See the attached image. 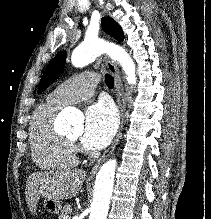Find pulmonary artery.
Here are the masks:
<instances>
[{"label":"pulmonary artery","mask_w":211,"mask_h":219,"mask_svg":"<svg viewBox=\"0 0 211 219\" xmlns=\"http://www.w3.org/2000/svg\"><path fill=\"white\" fill-rule=\"evenodd\" d=\"M98 82L94 72H84L60 84L48 99L57 105H68L91 97Z\"/></svg>","instance_id":"1"}]
</instances>
